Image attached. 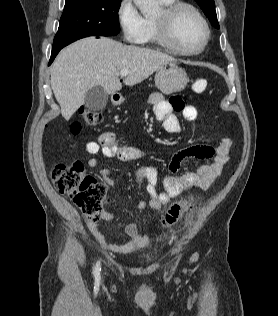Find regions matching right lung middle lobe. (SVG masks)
Instances as JSON below:
<instances>
[{
	"mask_svg": "<svg viewBox=\"0 0 278 316\" xmlns=\"http://www.w3.org/2000/svg\"><path fill=\"white\" fill-rule=\"evenodd\" d=\"M120 3L121 0H66L52 50L87 36L117 35Z\"/></svg>",
	"mask_w": 278,
	"mask_h": 316,
	"instance_id": "1",
	"label": "right lung middle lobe"
}]
</instances>
